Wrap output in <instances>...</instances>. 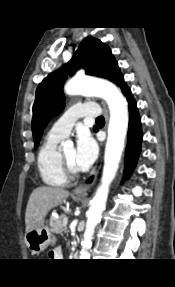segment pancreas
Masks as SVG:
<instances>
[{
  "instance_id": "pancreas-1",
  "label": "pancreas",
  "mask_w": 175,
  "mask_h": 287,
  "mask_svg": "<svg viewBox=\"0 0 175 287\" xmlns=\"http://www.w3.org/2000/svg\"><path fill=\"white\" fill-rule=\"evenodd\" d=\"M63 219V214H61L58 218L53 216L50 218L49 224L53 233L62 234L64 232Z\"/></svg>"
}]
</instances>
